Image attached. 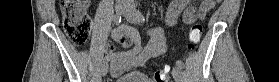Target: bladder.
<instances>
[{
	"instance_id": "obj_1",
	"label": "bladder",
	"mask_w": 279,
	"mask_h": 82,
	"mask_svg": "<svg viewBox=\"0 0 279 82\" xmlns=\"http://www.w3.org/2000/svg\"><path fill=\"white\" fill-rule=\"evenodd\" d=\"M115 82H153L150 78L140 72H131L118 77Z\"/></svg>"
}]
</instances>
